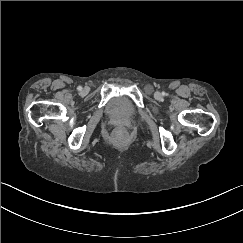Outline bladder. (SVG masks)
Wrapping results in <instances>:
<instances>
[{"label": "bladder", "instance_id": "obj_1", "mask_svg": "<svg viewBox=\"0 0 243 243\" xmlns=\"http://www.w3.org/2000/svg\"><path fill=\"white\" fill-rule=\"evenodd\" d=\"M105 114L110 118L128 120L137 115V108L128 95L111 97L104 106Z\"/></svg>", "mask_w": 243, "mask_h": 243}]
</instances>
